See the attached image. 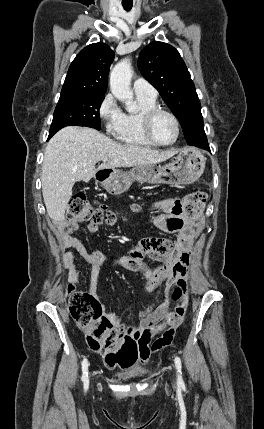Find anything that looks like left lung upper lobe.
Masks as SVG:
<instances>
[{"mask_svg": "<svg viewBox=\"0 0 264 429\" xmlns=\"http://www.w3.org/2000/svg\"><path fill=\"white\" fill-rule=\"evenodd\" d=\"M138 67L178 118L187 144L208 145L201 104L179 52L169 44L152 42L141 51Z\"/></svg>", "mask_w": 264, "mask_h": 429, "instance_id": "1", "label": "left lung upper lobe"}]
</instances>
